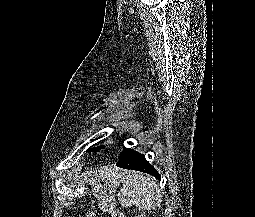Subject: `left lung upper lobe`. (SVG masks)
<instances>
[{
  "mask_svg": "<svg viewBox=\"0 0 255 217\" xmlns=\"http://www.w3.org/2000/svg\"><path fill=\"white\" fill-rule=\"evenodd\" d=\"M101 148H103V147L100 146V147H97V148H90V149H88V151H97V150H99V149H101Z\"/></svg>",
  "mask_w": 255,
  "mask_h": 217,
  "instance_id": "5c2ea615",
  "label": "left lung upper lobe"
}]
</instances>
